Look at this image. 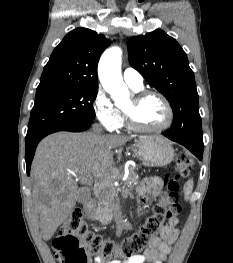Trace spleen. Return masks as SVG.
Segmentation results:
<instances>
[{
    "instance_id": "3e777b00",
    "label": "spleen",
    "mask_w": 233,
    "mask_h": 263,
    "mask_svg": "<svg viewBox=\"0 0 233 263\" xmlns=\"http://www.w3.org/2000/svg\"><path fill=\"white\" fill-rule=\"evenodd\" d=\"M184 197L185 200H189L193 190V180H188L184 185Z\"/></svg>"
}]
</instances>
